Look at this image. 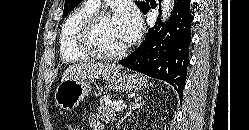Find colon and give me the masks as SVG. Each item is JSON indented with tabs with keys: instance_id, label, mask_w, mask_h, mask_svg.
I'll use <instances>...</instances> for the list:
<instances>
[{
	"instance_id": "1",
	"label": "colon",
	"mask_w": 249,
	"mask_h": 130,
	"mask_svg": "<svg viewBox=\"0 0 249 130\" xmlns=\"http://www.w3.org/2000/svg\"><path fill=\"white\" fill-rule=\"evenodd\" d=\"M62 130H78L75 126H73L72 124H65L62 127Z\"/></svg>"
}]
</instances>
